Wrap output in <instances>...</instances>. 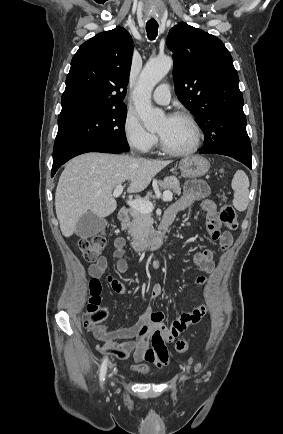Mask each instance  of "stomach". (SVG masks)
<instances>
[{"label":"stomach","mask_w":283,"mask_h":434,"mask_svg":"<svg viewBox=\"0 0 283 434\" xmlns=\"http://www.w3.org/2000/svg\"><path fill=\"white\" fill-rule=\"evenodd\" d=\"M210 168V163L201 156L184 158L179 163L181 175L185 178H197L205 175Z\"/></svg>","instance_id":"0dacf381"}]
</instances>
